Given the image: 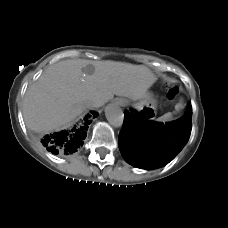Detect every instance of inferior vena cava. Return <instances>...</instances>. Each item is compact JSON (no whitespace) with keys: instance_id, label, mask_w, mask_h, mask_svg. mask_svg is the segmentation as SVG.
Returning a JSON list of instances; mask_svg holds the SVG:
<instances>
[{"instance_id":"602c4592","label":"inferior vena cava","mask_w":228,"mask_h":228,"mask_svg":"<svg viewBox=\"0 0 228 228\" xmlns=\"http://www.w3.org/2000/svg\"><path fill=\"white\" fill-rule=\"evenodd\" d=\"M85 105H86V107L90 108V107L93 106V103H92V101H87V102L85 103Z\"/></svg>"}]
</instances>
